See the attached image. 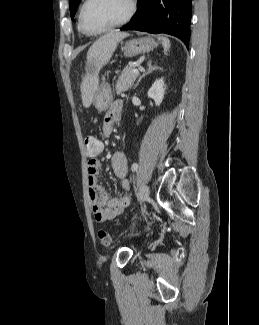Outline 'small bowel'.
Segmentation results:
<instances>
[{
    "instance_id": "1",
    "label": "small bowel",
    "mask_w": 259,
    "mask_h": 325,
    "mask_svg": "<svg viewBox=\"0 0 259 325\" xmlns=\"http://www.w3.org/2000/svg\"><path fill=\"white\" fill-rule=\"evenodd\" d=\"M122 109L123 102L121 100L113 102L103 120L102 133L104 136H110L112 134L114 124L121 118ZM103 148L104 146L102 143L101 150H97L94 154H86L88 158V195L92 204L94 217L98 221L116 218L123 213L130 204V197L128 194L130 182L127 178V159L124 153L115 152L111 156V167L119 180L121 194L117 197H111L110 194L104 191L98 184L97 175L101 169V162L98 157L103 152Z\"/></svg>"
}]
</instances>
